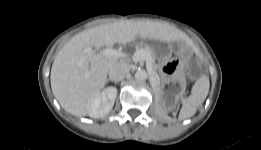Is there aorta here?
I'll return each instance as SVG.
<instances>
[{
	"instance_id": "762f6f07",
	"label": "aorta",
	"mask_w": 261,
	"mask_h": 150,
	"mask_svg": "<svg viewBox=\"0 0 261 150\" xmlns=\"http://www.w3.org/2000/svg\"><path fill=\"white\" fill-rule=\"evenodd\" d=\"M148 77V74L145 70H138L136 73H135V78L138 80V81H143V80H146Z\"/></svg>"
}]
</instances>
